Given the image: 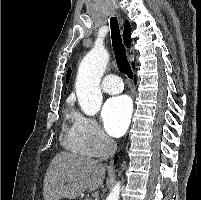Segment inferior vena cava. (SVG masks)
Here are the masks:
<instances>
[{"mask_svg": "<svg viewBox=\"0 0 201 200\" xmlns=\"http://www.w3.org/2000/svg\"><path fill=\"white\" fill-rule=\"evenodd\" d=\"M104 145H105L104 154L102 158L100 159V161L112 157L115 154V151L117 149L116 142L114 141V139H112L109 136H105Z\"/></svg>", "mask_w": 201, "mask_h": 200, "instance_id": "obj_1", "label": "inferior vena cava"}]
</instances>
